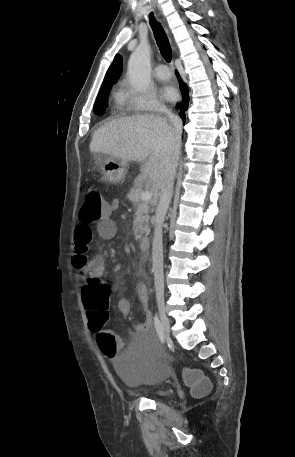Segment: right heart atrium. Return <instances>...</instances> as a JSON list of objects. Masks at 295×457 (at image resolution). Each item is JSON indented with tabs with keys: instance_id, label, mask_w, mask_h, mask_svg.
Listing matches in <instances>:
<instances>
[{
	"instance_id": "1",
	"label": "right heart atrium",
	"mask_w": 295,
	"mask_h": 457,
	"mask_svg": "<svg viewBox=\"0 0 295 457\" xmlns=\"http://www.w3.org/2000/svg\"><path fill=\"white\" fill-rule=\"evenodd\" d=\"M126 106L134 112H162L163 104L153 92L137 93L131 89L125 93Z\"/></svg>"
}]
</instances>
